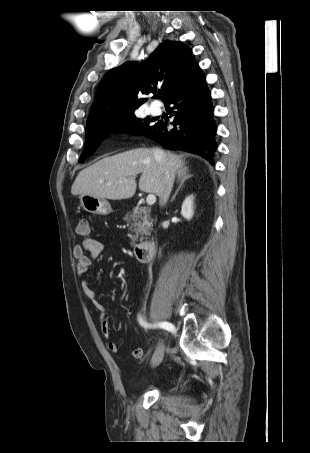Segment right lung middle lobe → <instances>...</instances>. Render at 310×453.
Here are the masks:
<instances>
[{
    "label": "right lung middle lobe",
    "mask_w": 310,
    "mask_h": 453,
    "mask_svg": "<svg viewBox=\"0 0 310 453\" xmlns=\"http://www.w3.org/2000/svg\"><path fill=\"white\" fill-rule=\"evenodd\" d=\"M151 121L152 120H150L149 117L144 120L139 119L133 112L86 129L85 148L79 162H83L86 157L93 154L99 142L109 133L126 131L133 134L144 135L151 128Z\"/></svg>",
    "instance_id": "dd1d6c3e"
}]
</instances>
